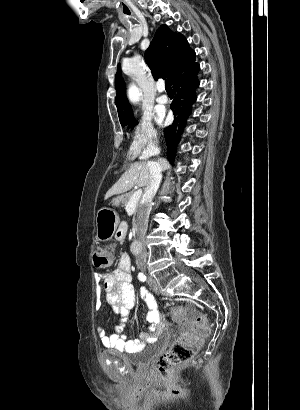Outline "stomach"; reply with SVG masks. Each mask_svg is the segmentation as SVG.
<instances>
[{"label":"stomach","instance_id":"1","mask_svg":"<svg viewBox=\"0 0 300 410\" xmlns=\"http://www.w3.org/2000/svg\"><path fill=\"white\" fill-rule=\"evenodd\" d=\"M118 224L119 216L114 209L110 207L101 208L96 217L97 239L99 241L109 240L114 235Z\"/></svg>","mask_w":300,"mask_h":410}]
</instances>
